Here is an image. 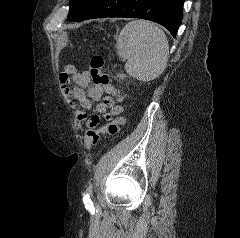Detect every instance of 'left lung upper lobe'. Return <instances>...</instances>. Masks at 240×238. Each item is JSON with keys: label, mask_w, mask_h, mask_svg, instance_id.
<instances>
[{"label": "left lung upper lobe", "mask_w": 240, "mask_h": 238, "mask_svg": "<svg viewBox=\"0 0 240 238\" xmlns=\"http://www.w3.org/2000/svg\"><path fill=\"white\" fill-rule=\"evenodd\" d=\"M90 1L91 0H71L67 20L72 21L81 15Z\"/></svg>", "instance_id": "obj_1"}]
</instances>
